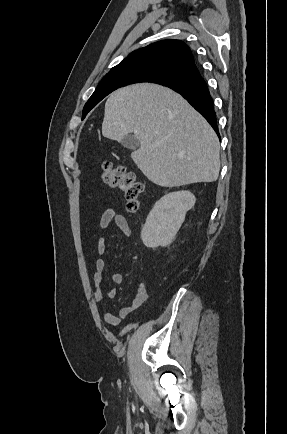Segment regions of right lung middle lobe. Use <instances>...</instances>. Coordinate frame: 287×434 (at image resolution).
Instances as JSON below:
<instances>
[{
    "label": "right lung middle lobe",
    "instance_id": "right-lung-middle-lobe-1",
    "mask_svg": "<svg viewBox=\"0 0 287 434\" xmlns=\"http://www.w3.org/2000/svg\"><path fill=\"white\" fill-rule=\"evenodd\" d=\"M178 80H180L179 75L159 69H141L133 72L116 73L105 76L85 104L83 109V118L104 97L120 87L142 82L160 84L166 81Z\"/></svg>",
    "mask_w": 287,
    "mask_h": 434
}]
</instances>
